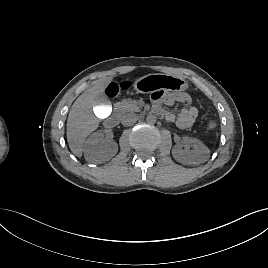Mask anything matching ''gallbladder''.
Returning <instances> with one entry per match:
<instances>
[{
    "mask_svg": "<svg viewBox=\"0 0 268 268\" xmlns=\"http://www.w3.org/2000/svg\"><path fill=\"white\" fill-rule=\"evenodd\" d=\"M109 104H110L109 100L103 95L99 100L95 101L93 108L97 116L101 118H106L110 116L112 109Z\"/></svg>",
    "mask_w": 268,
    "mask_h": 268,
    "instance_id": "1",
    "label": "gallbladder"
}]
</instances>
